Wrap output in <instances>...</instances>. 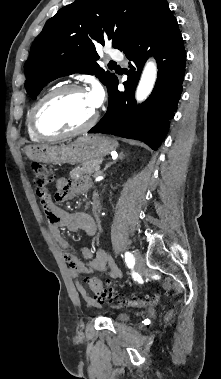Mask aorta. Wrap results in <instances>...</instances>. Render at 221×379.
<instances>
[{
	"label": "aorta",
	"mask_w": 221,
	"mask_h": 379,
	"mask_svg": "<svg viewBox=\"0 0 221 379\" xmlns=\"http://www.w3.org/2000/svg\"><path fill=\"white\" fill-rule=\"evenodd\" d=\"M157 77V67L155 62L148 61L143 70L141 79L136 90V100L144 101L152 92Z\"/></svg>",
	"instance_id": "aorta-1"
}]
</instances>
